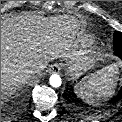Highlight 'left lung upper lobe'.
<instances>
[{
    "label": "left lung upper lobe",
    "mask_w": 122,
    "mask_h": 122,
    "mask_svg": "<svg viewBox=\"0 0 122 122\" xmlns=\"http://www.w3.org/2000/svg\"><path fill=\"white\" fill-rule=\"evenodd\" d=\"M113 43H114V47L116 49H119V48L122 49V33L121 32L116 31L114 33V41H113Z\"/></svg>",
    "instance_id": "obj_1"
}]
</instances>
